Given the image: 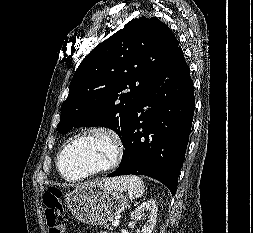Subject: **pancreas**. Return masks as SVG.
I'll return each instance as SVG.
<instances>
[{
	"instance_id": "obj_1",
	"label": "pancreas",
	"mask_w": 253,
	"mask_h": 233,
	"mask_svg": "<svg viewBox=\"0 0 253 233\" xmlns=\"http://www.w3.org/2000/svg\"><path fill=\"white\" fill-rule=\"evenodd\" d=\"M104 228H107L108 230H113L111 226L105 225Z\"/></svg>"
}]
</instances>
